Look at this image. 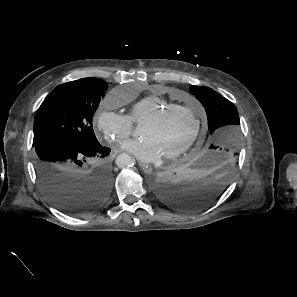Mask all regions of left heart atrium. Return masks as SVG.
I'll return each instance as SVG.
<instances>
[{
  "label": "left heart atrium",
  "mask_w": 297,
  "mask_h": 297,
  "mask_svg": "<svg viewBox=\"0 0 297 297\" xmlns=\"http://www.w3.org/2000/svg\"><path fill=\"white\" fill-rule=\"evenodd\" d=\"M122 149L145 163L156 162L163 156L158 146L150 138L129 140L122 145Z\"/></svg>",
  "instance_id": "left-heart-atrium-1"
}]
</instances>
